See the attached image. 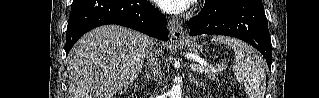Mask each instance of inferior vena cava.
Wrapping results in <instances>:
<instances>
[{
	"label": "inferior vena cava",
	"mask_w": 319,
	"mask_h": 98,
	"mask_svg": "<svg viewBox=\"0 0 319 98\" xmlns=\"http://www.w3.org/2000/svg\"><path fill=\"white\" fill-rule=\"evenodd\" d=\"M154 40H152V44L149 46L146 59L149 68L151 69V73L154 76V80L157 84V87L161 86L163 75L161 72L160 59H159V51L155 46Z\"/></svg>",
	"instance_id": "obj_1"
}]
</instances>
